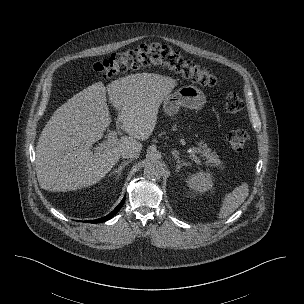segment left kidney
Returning <instances> with one entry per match:
<instances>
[{
	"mask_svg": "<svg viewBox=\"0 0 304 304\" xmlns=\"http://www.w3.org/2000/svg\"><path fill=\"white\" fill-rule=\"evenodd\" d=\"M186 182L188 187L196 192L204 193L213 186L212 175L209 172H198L190 175Z\"/></svg>",
	"mask_w": 304,
	"mask_h": 304,
	"instance_id": "1",
	"label": "left kidney"
}]
</instances>
